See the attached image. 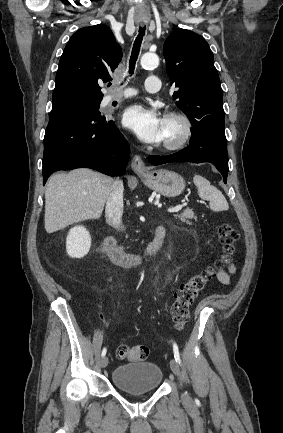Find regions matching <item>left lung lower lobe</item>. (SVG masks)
<instances>
[{
  "label": "left lung lower lobe",
  "mask_w": 283,
  "mask_h": 433,
  "mask_svg": "<svg viewBox=\"0 0 283 433\" xmlns=\"http://www.w3.org/2000/svg\"><path fill=\"white\" fill-rule=\"evenodd\" d=\"M153 165L171 162H210L221 172L224 183L228 175L227 140L224 128L204 125L192 129L190 146L184 150L167 156H149Z\"/></svg>",
  "instance_id": "1"
}]
</instances>
